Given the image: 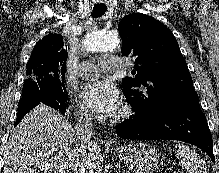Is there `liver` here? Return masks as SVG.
<instances>
[{"instance_id":"liver-1","label":"liver","mask_w":219,"mask_h":173,"mask_svg":"<svg viewBox=\"0 0 219 173\" xmlns=\"http://www.w3.org/2000/svg\"><path fill=\"white\" fill-rule=\"evenodd\" d=\"M92 173L102 172L96 143ZM82 158L72 125L57 110L40 103L16 126L3 156L2 173H74Z\"/></svg>"}]
</instances>
